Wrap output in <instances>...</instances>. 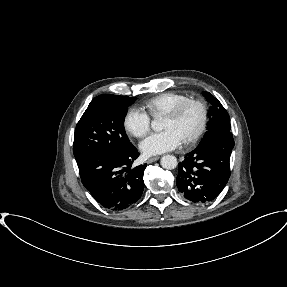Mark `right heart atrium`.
Here are the masks:
<instances>
[{
  "instance_id": "right-heart-atrium-1",
  "label": "right heart atrium",
  "mask_w": 287,
  "mask_h": 287,
  "mask_svg": "<svg viewBox=\"0 0 287 287\" xmlns=\"http://www.w3.org/2000/svg\"><path fill=\"white\" fill-rule=\"evenodd\" d=\"M126 132L136 138L144 137L150 130V116L140 108H130L123 119Z\"/></svg>"
}]
</instances>
